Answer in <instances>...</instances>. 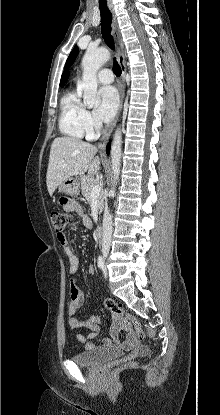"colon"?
Here are the masks:
<instances>
[{"instance_id": "colon-1", "label": "colon", "mask_w": 220, "mask_h": 415, "mask_svg": "<svg viewBox=\"0 0 220 415\" xmlns=\"http://www.w3.org/2000/svg\"><path fill=\"white\" fill-rule=\"evenodd\" d=\"M70 219V215L66 211H53L51 213V222L57 231V234L63 233L64 228L67 226ZM105 308L110 311L115 317L124 318L132 323L140 339L144 338V331L140 322L130 312L126 311L120 305L115 303L109 298L103 300Z\"/></svg>"}]
</instances>
